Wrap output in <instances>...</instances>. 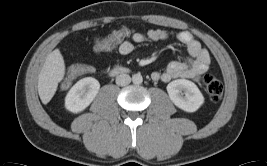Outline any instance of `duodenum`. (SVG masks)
<instances>
[{
    "label": "duodenum",
    "mask_w": 267,
    "mask_h": 166,
    "mask_svg": "<svg viewBox=\"0 0 267 166\" xmlns=\"http://www.w3.org/2000/svg\"><path fill=\"white\" fill-rule=\"evenodd\" d=\"M124 71H125V69L122 67H114L110 72H111V74L117 75V74L123 73Z\"/></svg>",
    "instance_id": "obj_1"
}]
</instances>
